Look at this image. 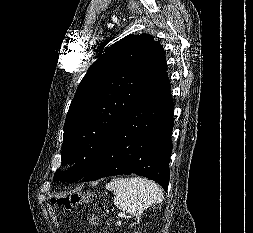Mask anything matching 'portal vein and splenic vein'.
<instances>
[{
    "instance_id": "18ae733b",
    "label": "portal vein and splenic vein",
    "mask_w": 253,
    "mask_h": 233,
    "mask_svg": "<svg viewBox=\"0 0 253 233\" xmlns=\"http://www.w3.org/2000/svg\"><path fill=\"white\" fill-rule=\"evenodd\" d=\"M118 216L122 217V216H124V214L121 212V213L118 214Z\"/></svg>"
}]
</instances>
